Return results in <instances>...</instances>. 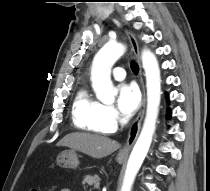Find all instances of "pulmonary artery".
Masks as SVG:
<instances>
[{
	"label": "pulmonary artery",
	"instance_id": "obj_1",
	"mask_svg": "<svg viewBox=\"0 0 210 191\" xmlns=\"http://www.w3.org/2000/svg\"><path fill=\"white\" fill-rule=\"evenodd\" d=\"M112 75H113L114 79L121 81V80L125 79L126 72H125L124 68L118 66L113 69Z\"/></svg>",
	"mask_w": 210,
	"mask_h": 191
}]
</instances>
